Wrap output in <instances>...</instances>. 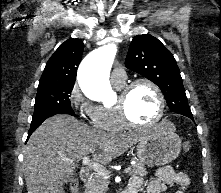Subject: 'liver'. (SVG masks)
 <instances>
[{
    "mask_svg": "<svg viewBox=\"0 0 221 193\" xmlns=\"http://www.w3.org/2000/svg\"><path fill=\"white\" fill-rule=\"evenodd\" d=\"M174 128V125L169 122ZM151 130L114 134L90 128L76 118L58 114L46 119L31 135L25 149L23 173L28 193H65L63 184L75 163L88 154L109 163L140 142ZM100 153L96 154L95 151Z\"/></svg>",
    "mask_w": 221,
    "mask_h": 193,
    "instance_id": "liver-1",
    "label": "liver"
}]
</instances>
